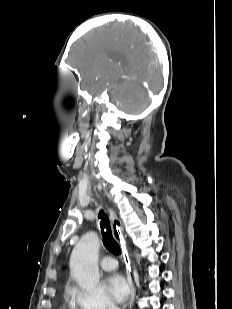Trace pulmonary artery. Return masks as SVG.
I'll list each match as a JSON object with an SVG mask.
<instances>
[{
    "instance_id": "e3ab8cb5",
    "label": "pulmonary artery",
    "mask_w": 232,
    "mask_h": 309,
    "mask_svg": "<svg viewBox=\"0 0 232 309\" xmlns=\"http://www.w3.org/2000/svg\"><path fill=\"white\" fill-rule=\"evenodd\" d=\"M100 266L105 271L114 270L117 267L116 260L111 256H105L100 261Z\"/></svg>"
}]
</instances>
